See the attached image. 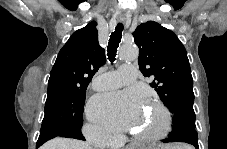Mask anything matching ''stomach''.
<instances>
[{"mask_svg": "<svg viewBox=\"0 0 227 149\" xmlns=\"http://www.w3.org/2000/svg\"><path fill=\"white\" fill-rule=\"evenodd\" d=\"M157 149H175V148H172V147H170V148H157Z\"/></svg>", "mask_w": 227, "mask_h": 149, "instance_id": "obj_1", "label": "stomach"}]
</instances>
